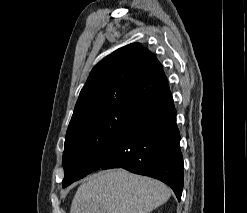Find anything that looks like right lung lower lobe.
Listing matches in <instances>:
<instances>
[{"mask_svg": "<svg viewBox=\"0 0 247 213\" xmlns=\"http://www.w3.org/2000/svg\"><path fill=\"white\" fill-rule=\"evenodd\" d=\"M176 110L168 84L131 100L120 131L98 156L93 170L124 168L169 185L178 200L183 189V157Z\"/></svg>", "mask_w": 247, "mask_h": 213, "instance_id": "right-lung-lower-lobe-1", "label": "right lung lower lobe"}]
</instances>
